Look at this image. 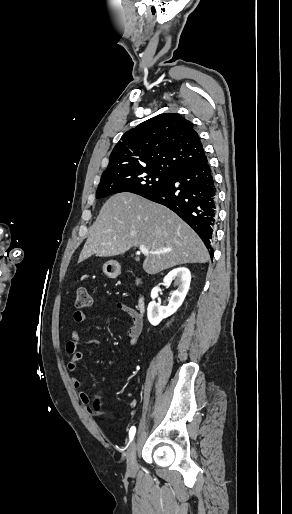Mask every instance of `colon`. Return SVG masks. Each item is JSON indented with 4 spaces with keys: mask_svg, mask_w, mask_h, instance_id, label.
I'll return each mask as SVG.
<instances>
[{
    "mask_svg": "<svg viewBox=\"0 0 292 514\" xmlns=\"http://www.w3.org/2000/svg\"><path fill=\"white\" fill-rule=\"evenodd\" d=\"M75 307L77 311L86 310L90 307V297L86 289H78L76 293ZM100 408L99 398L95 399L94 411Z\"/></svg>",
    "mask_w": 292,
    "mask_h": 514,
    "instance_id": "colon-1",
    "label": "colon"
}]
</instances>
